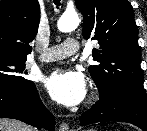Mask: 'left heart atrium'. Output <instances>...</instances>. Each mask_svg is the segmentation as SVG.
<instances>
[{
    "mask_svg": "<svg viewBox=\"0 0 147 131\" xmlns=\"http://www.w3.org/2000/svg\"><path fill=\"white\" fill-rule=\"evenodd\" d=\"M45 88L58 103L75 106L86 97L87 81L78 70L57 69L46 78Z\"/></svg>",
    "mask_w": 147,
    "mask_h": 131,
    "instance_id": "left-heart-atrium-1",
    "label": "left heart atrium"
}]
</instances>
